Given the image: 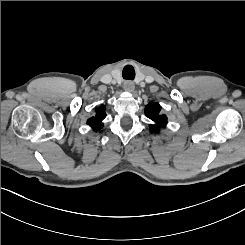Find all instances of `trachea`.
Listing matches in <instances>:
<instances>
[{
    "mask_svg": "<svg viewBox=\"0 0 245 245\" xmlns=\"http://www.w3.org/2000/svg\"><path fill=\"white\" fill-rule=\"evenodd\" d=\"M123 78L127 79V80H133L135 77V70L134 67H132V65H126L123 68Z\"/></svg>",
    "mask_w": 245,
    "mask_h": 245,
    "instance_id": "1",
    "label": "trachea"
}]
</instances>
